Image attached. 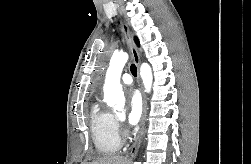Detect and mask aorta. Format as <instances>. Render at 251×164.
<instances>
[{
    "label": "aorta",
    "instance_id": "762f6f07",
    "mask_svg": "<svg viewBox=\"0 0 251 164\" xmlns=\"http://www.w3.org/2000/svg\"><path fill=\"white\" fill-rule=\"evenodd\" d=\"M127 53H115L106 72L104 83V100L108 106L115 109H122L125 105V97L120 82L122 70L128 61ZM140 76L142 78L145 91L150 92L153 82L152 70L149 64L142 63L140 66ZM141 164V163H136Z\"/></svg>",
    "mask_w": 251,
    "mask_h": 164
}]
</instances>
